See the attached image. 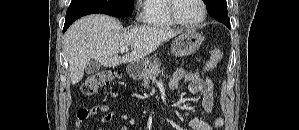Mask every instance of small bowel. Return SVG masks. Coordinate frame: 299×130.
I'll return each mask as SVG.
<instances>
[{
  "label": "small bowel",
  "mask_w": 299,
  "mask_h": 130,
  "mask_svg": "<svg viewBox=\"0 0 299 130\" xmlns=\"http://www.w3.org/2000/svg\"><path fill=\"white\" fill-rule=\"evenodd\" d=\"M185 75V71L182 68H178L170 79V86L173 89H177ZM188 93L191 95L201 94V104L203 109L210 113L214 108V88L211 78L208 75L201 77L199 80L191 83L187 87ZM103 113L101 122L107 124L111 122L115 116L113 111H110L106 105L94 106L89 110V116ZM224 125L222 117H217L212 123L206 122L198 117H193L189 126L193 130H220ZM130 127L124 126L120 130H129Z\"/></svg>",
  "instance_id": "1"
}]
</instances>
